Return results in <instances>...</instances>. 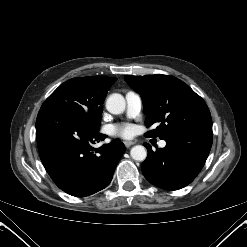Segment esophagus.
I'll return each mask as SVG.
<instances>
[{
	"mask_svg": "<svg viewBox=\"0 0 247 247\" xmlns=\"http://www.w3.org/2000/svg\"><path fill=\"white\" fill-rule=\"evenodd\" d=\"M133 144H135V142H133V141H124V145L126 146V148H129Z\"/></svg>",
	"mask_w": 247,
	"mask_h": 247,
	"instance_id": "1",
	"label": "esophagus"
}]
</instances>
